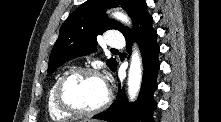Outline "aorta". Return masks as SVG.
I'll list each match as a JSON object with an SVG mask.
<instances>
[{
  "label": "aorta",
  "mask_w": 221,
  "mask_h": 122,
  "mask_svg": "<svg viewBox=\"0 0 221 122\" xmlns=\"http://www.w3.org/2000/svg\"><path fill=\"white\" fill-rule=\"evenodd\" d=\"M114 18L121 21L124 24L129 25L130 21L127 15L121 12H115ZM142 80V63L140 55L136 47L133 48L131 56V62L128 72V94L131 101L135 100L140 90Z\"/></svg>",
  "instance_id": "aorta-1"
}]
</instances>
